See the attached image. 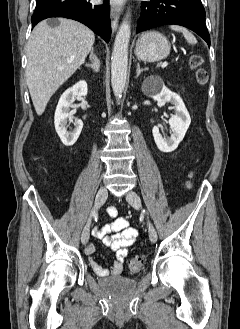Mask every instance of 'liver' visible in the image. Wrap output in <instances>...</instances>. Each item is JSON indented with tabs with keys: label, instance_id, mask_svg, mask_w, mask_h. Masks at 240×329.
Instances as JSON below:
<instances>
[{
	"label": "liver",
	"instance_id": "6515ba94",
	"mask_svg": "<svg viewBox=\"0 0 240 329\" xmlns=\"http://www.w3.org/2000/svg\"><path fill=\"white\" fill-rule=\"evenodd\" d=\"M51 27L42 21L27 44L26 82L38 115L58 88L85 62L95 41L94 33L73 20L60 19Z\"/></svg>",
	"mask_w": 240,
	"mask_h": 329
}]
</instances>
